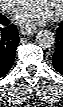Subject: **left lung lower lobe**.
Instances as JSON below:
<instances>
[{
    "instance_id": "left-lung-lower-lobe-1",
    "label": "left lung lower lobe",
    "mask_w": 63,
    "mask_h": 107,
    "mask_svg": "<svg viewBox=\"0 0 63 107\" xmlns=\"http://www.w3.org/2000/svg\"><path fill=\"white\" fill-rule=\"evenodd\" d=\"M52 63L55 70L63 75V21L56 30V50L52 56Z\"/></svg>"
}]
</instances>
